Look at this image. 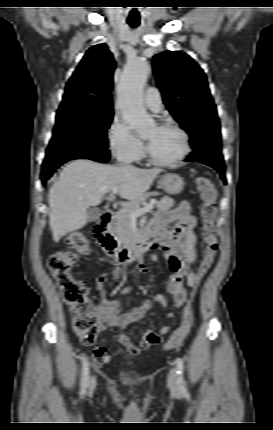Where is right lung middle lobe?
<instances>
[{"instance_id":"1","label":"right lung middle lobe","mask_w":273,"mask_h":430,"mask_svg":"<svg viewBox=\"0 0 273 430\" xmlns=\"http://www.w3.org/2000/svg\"><path fill=\"white\" fill-rule=\"evenodd\" d=\"M112 119L110 110L59 109L43 166L82 155L109 153L106 133Z\"/></svg>"}]
</instances>
